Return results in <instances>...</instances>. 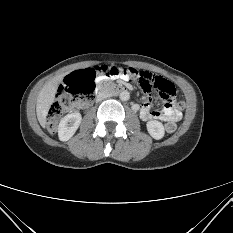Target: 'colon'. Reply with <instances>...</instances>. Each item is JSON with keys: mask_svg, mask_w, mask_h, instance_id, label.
Returning a JSON list of instances; mask_svg holds the SVG:
<instances>
[{"mask_svg": "<svg viewBox=\"0 0 233 233\" xmlns=\"http://www.w3.org/2000/svg\"><path fill=\"white\" fill-rule=\"evenodd\" d=\"M97 74L111 77H124L125 79L139 84L145 91L157 90L165 99H170L175 88L169 81L144 72H138L131 68H118L110 65L98 66L93 69L78 71L68 75L60 86L56 99L51 105L47 115V128L54 133L57 129L60 118L70 109L73 104H86L94 92V78ZM181 108L182 105L179 104ZM167 132L176 130V124L167 123Z\"/></svg>", "mask_w": 233, "mask_h": 233, "instance_id": "1", "label": "colon"}]
</instances>
